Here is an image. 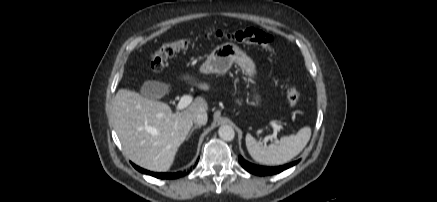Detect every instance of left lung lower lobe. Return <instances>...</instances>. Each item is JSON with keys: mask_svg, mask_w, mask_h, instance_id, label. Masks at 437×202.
<instances>
[{"mask_svg": "<svg viewBox=\"0 0 437 202\" xmlns=\"http://www.w3.org/2000/svg\"><path fill=\"white\" fill-rule=\"evenodd\" d=\"M238 160L245 170H247L248 172H250L252 174L259 175V176H267V175H273V174L280 173V172L288 169L289 167L296 165L299 162V160H298V161H294V162L289 163V164H285L283 166L264 167V166H258V165L252 164V163L246 161L241 156L238 158Z\"/></svg>", "mask_w": 437, "mask_h": 202, "instance_id": "0a47b994", "label": "left lung lower lobe"}]
</instances>
